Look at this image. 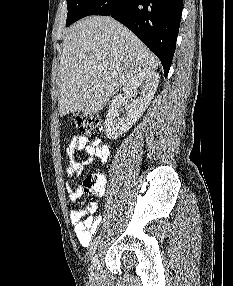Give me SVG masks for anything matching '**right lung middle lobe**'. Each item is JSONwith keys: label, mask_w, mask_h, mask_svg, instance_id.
Here are the masks:
<instances>
[{"label": "right lung middle lobe", "mask_w": 233, "mask_h": 286, "mask_svg": "<svg viewBox=\"0 0 233 286\" xmlns=\"http://www.w3.org/2000/svg\"><path fill=\"white\" fill-rule=\"evenodd\" d=\"M94 0H67L68 14L66 20V26H70L77 21L81 14L87 9V7Z\"/></svg>", "instance_id": "dd1d6c3e"}]
</instances>
